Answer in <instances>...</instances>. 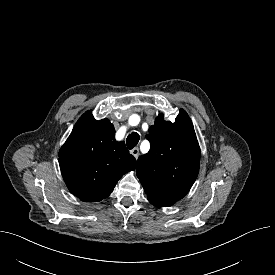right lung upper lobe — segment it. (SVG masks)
Returning a JSON list of instances; mask_svg holds the SVG:
<instances>
[{"label": "right lung upper lobe", "mask_w": 275, "mask_h": 275, "mask_svg": "<svg viewBox=\"0 0 275 275\" xmlns=\"http://www.w3.org/2000/svg\"><path fill=\"white\" fill-rule=\"evenodd\" d=\"M59 165L70 192L84 202H94L111 194L117 181L135 169L136 159L123 141L115 140L108 119L97 121L87 111L61 147Z\"/></svg>", "instance_id": "obj_1"}]
</instances>
